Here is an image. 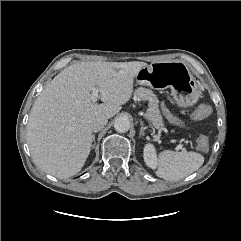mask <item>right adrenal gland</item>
Here are the masks:
<instances>
[{
    "instance_id": "1",
    "label": "right adrenal gland",
    "mask_w": 241,
    "mask_h": 241,
    "mask_svg": "<svg viewBox=\"0 0 241 241\" xmlns=\"http://www.w3.org/2000/svg\"><path fill=\"white\" fill-rule=\"evenodd\" d=\"M93 142H94L93 147H95V144H96V142H95V135H93Z\"/></svg>"
}]
</instances>
